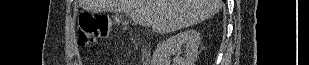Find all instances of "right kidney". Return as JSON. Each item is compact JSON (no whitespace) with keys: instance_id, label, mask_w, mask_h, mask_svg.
Wrapping results in <instances>:
<instances>
[{"instance_id":"1","label":"right kidney","mask_w":309,"mask_h":65,"mask_svg":"<svg viewBox=\"0 0 309 65\" xmlns=\"http://www.w3.org/2000/svg\"><path fill=\"white\" fill-rule=\"evenodd\" d=\"M200 44V33L195 29H187L176 35L170 36L157 45L153 54L152 65H169L172 53H177L173 59L174 65H194ZM182 46L185 47V55L180 54Z\"/></svg>"}]
</instances>
